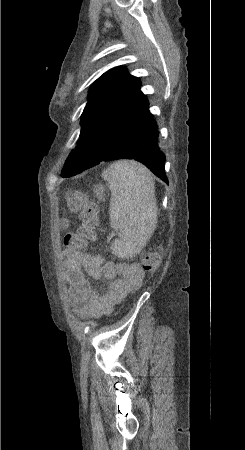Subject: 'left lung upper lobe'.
Here are the masks:
<instances>
[{
    "instance_id": "5c2ea615",
    "label": "left lung upper lobe",
    "mask_w": 245,
    "mask_h": 450,
    "mask_svg": "<svg viewBox=\"0 0 245 450\" xmlns=\"http://www.w3.org/2000/svg\"><path fill=\"white\" fill-rule=\"evenodd\" d=\"M140 85V80L122 66L110 69L92 84L81 116L78 151L69 154L62 177L76 175L98 164L101 155L120 150L130 140L149 112ZM85 145H95L97 155L102 154L98 158L90 157V153L82 154L80 149Z\"/></svg>"
}]
</instances>
